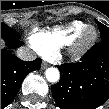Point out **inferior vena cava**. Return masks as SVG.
<instances>
[{
	"label": "inferior vena cava",
	"mask_w": 109,
	"mask_h": 109,
	"mask_svg": "<svg viewBox=\"0 0 109 109\" xmlns=\"http://www.w3.org/2000/svg\"><path fill=\"white\" fill-rule=\"evenodd\" d=\"M16 55L24 61H33L37 58V55L32 50L23 46L17 49Z\"/></svg>",
	"instance_id": "602c4592"
}]
</instances>
